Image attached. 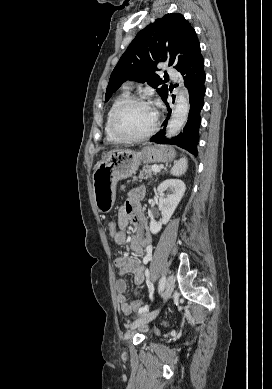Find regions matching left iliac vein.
Returning <instances> with one entry per match:
<instances>
[{
    "label": "left iliac vein",
    "instance_id": "4c4485c4",
    "mask_svg": "<svg viewBox=\"0 0 272 389\" xmlns=\"http://www.w3.org/2000/svg\"><path fill=\"white\" fill-rule=\"evenodd\" d=\"M174 283H175L174 277L172 275H169L166 279L165 287H164V291H163L164 300H167L168 298H170V296L174 290ZM157 314H158V310H156L152 313H149V314L137 319L136 321H134L130 325V330L128 331V336H131L133 330L140 328V327H143L144 325H146L147 323L152 321L157 316Z\"/></svg>",
    "mask_w": 272,
    "mask_h": 389
}]
</instances>
